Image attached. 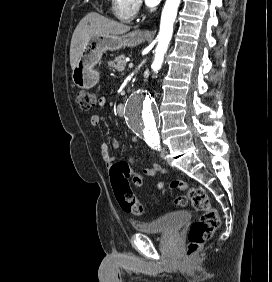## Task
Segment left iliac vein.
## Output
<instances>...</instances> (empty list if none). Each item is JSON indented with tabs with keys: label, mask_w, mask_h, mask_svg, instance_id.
<instances>
[{
	"label": "left iliac vein",
	"mask_w": 272,
	"mask_h": 282,
	"mask_svg": "<svg viewBox=\"0 0 272 282\" xmlns=\"http://www.w3.org/2000/svg\"><path fill=\"white\" fill-rule=\"evenodd\" d=\"M160 156H161V158L165 159V156H166V148L165 147H162V149L160 151Z\"/></svg>",
	"instance_id": "obj_1"
}]
</instances>
